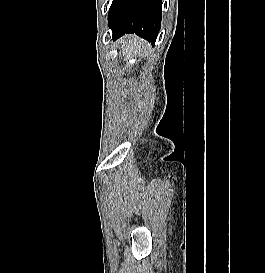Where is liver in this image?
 <instances>
[{
  "instance_id": "1",
  "label": "liver",
  "mask_w": 265,
  "mask_h": 273,
  "mask_svg": "<svg viewBox=\"0 0 265 273\" xmlns=\"http://www.w3.org/2000/svg\"><path fill=\"white\" fill-rule=\"evenodd\" d=\"M121 42L123 43L122 53L126 54V60L136 56L142 48L145 50L148 48V44L143 40H139L136 36H124Z\"/></svg>"
}]
</instances>
